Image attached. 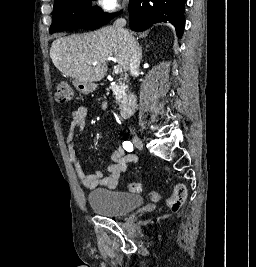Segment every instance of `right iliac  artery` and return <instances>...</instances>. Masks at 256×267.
<instances>
[{"label":"right iliac artery","instance_id":"1","mask_svg":"<svg viewBox=\"0 0 256 267\" xmlns=\"http://www.w3.org/2000/svg\"><path fill=\"white\" fill-rule=\"evenodd\" d=\"M123 148L126 151L131 152V151H133V144L130 141H124L123 142Z\"/></svg>","mask_w":256,"mask_h":267}]
</instances>
